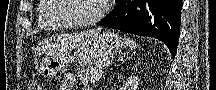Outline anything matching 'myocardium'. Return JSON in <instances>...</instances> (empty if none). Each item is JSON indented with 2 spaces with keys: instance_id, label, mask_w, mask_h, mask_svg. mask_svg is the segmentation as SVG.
<instances>
[{
  "instance_id": "f54148a6",
  "label": "myocardium",
  "mask_w": 216,
  "mask_h": 90,
  "mask_svg": "<svg viewBox=\"0 0 216 90\" xmlns=\"http://www.w3.org/2000/svg\"><path fill=\"white\" fill-rule=\"evenodd\" d=\"M56 3H58L59 8H57V11H54V17L61 20L66 26L71 29L92 27L102 20L109 9L107 3L103 1L99 13L93 18L86 21H72L65 16L67 15L68 9H71V5H69L70 0H56Z\"/></svg>"
}]
</instances>
